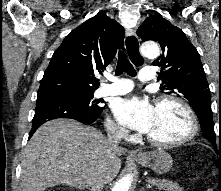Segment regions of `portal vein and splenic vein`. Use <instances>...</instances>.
Instances as JSON below:
<instances>
[{"instance_id": "1", "label": "portal vein and splenic vein", "mask_w": 221, "mask_h": 191, "mask_svg": "<svg viewBox=\"0 0 221 191\" xmlns=\"http://www.w3.org/2000/svg\"><path fill=\"white\" fill-rule=\"evenodd\" d=\"M147 187H151V185L150 184H148V185H146Z\"/></svg>"}]
</instances>
